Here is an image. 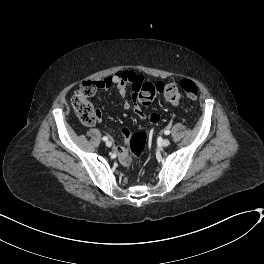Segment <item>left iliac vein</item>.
<instances>
[{"mask_svg":"<svg viewBox=\"0 0 264 264\" xmlns=\"http://www.w3.org/2000/svg\"><path fill=\"white\" fill-rule=\"evenodd\" d=\"M161 145H162L163 147H167V146H169V145H170V140L167 139V138L163 139V140L161 141Z\"/></svg>","mask_w":264,"mask_h":264,"instance_id":"obj_1","label":"left iliac vein"}]
</instances>
